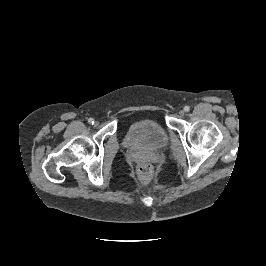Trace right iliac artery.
<instances>
[{
  "label": "right iliac artery",
  "mask_w": 266,
  "mask_h": 266,
  "mask_svg": "<svg viewBox=\"0 0 266 266\" xmlns=\"http://www.w3.org/2000/svg\"><path fill=\"white\" fill-rule=\"evenodd\" d=\"M88 122H89L90 124H94V119H93V118H89V119H88Z\"/></svg>",
  "instance_id": "obj_1"
}]
</instances>
